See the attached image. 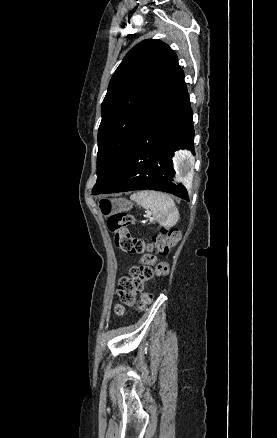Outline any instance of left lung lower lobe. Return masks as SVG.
I'll return each mask as SVG.
<instances>
[{
  "mask_svg": "<svg viewBox=\"0 0 277 438\" xmlns=\"http://www.w3.org/2000/svg\"><path fill=\"white\" fill-rule=\"evenodd\" d=\"M192 113H181L168 102L149 97L136 122L133 143L121 173L102 193L150 189L188 200L184 186L174 185L172 156L193 150Z\"/></svg>",
  "mask_w": 277,
  "mask_h": 438,
  "instance_id": "1",
  "label": "left lung lower lobe"
}]
</instances>
